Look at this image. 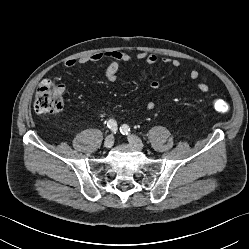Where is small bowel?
I'll list each match as a JSON object with an SVG mask.
<instances>
[{
	"label": "small bowel",
	"instance_id": "small-bowel-1",
	"mask_svg": "<svg viewBox=\"0 0 249 249\" xmlns=\"http://www.w3.org/2000/svg\"><path fill=\"white\" fill-rule=\"evenodd\" d=\"M101 60H109V63L105 69L104 77L106 80L110 82H114L118 79L120 65L122 63H132V62H145L147 64H156L158 62H163L165 64H169L174 68H180L182 66L181 60L177 58L163 57L159 58L155 54H149L147 52H138L135 55H130L126 52L120 50H111L107 52H99L89 56H83L78 60L69 59L65 62V66L72 68L77 64L85 65L88 63H95ZM200 77V73L197 69H191L189 71V78L193 81L198 80ZM211 77L209 74H204L202 76V81L196 84L197 90L201 92H208L210 90ZM152 91H157L160 88V84L158 81H152L149 85ZM63 91V86H62ZM156 106L154 101H149L146 104V108L148 110H153Z\"/></svg>",
	"mask_w": 249,
	"mask_h": 249
}]
</instances>
